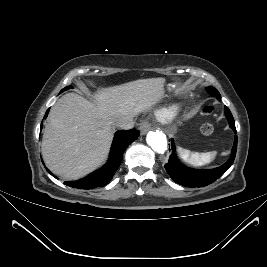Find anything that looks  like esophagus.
Here are the masks:
<instances>
[{"instance_id": "esophagus-1", "label": "esophagus", "mask_w": 267, "mask_h": 267, "mask_svg": "<svg viewBox=\"0 0 267 267\" xmlns=\"http://www.w3.org/2000/svg\"><path fill=\"white\" fill-rule=\"evenodd\" d=\"M140 133L142 135L146 134L149 130H150V124L148 121L144 120L142 121V123L140 124Z\"/></svg>"}]
</instances>
